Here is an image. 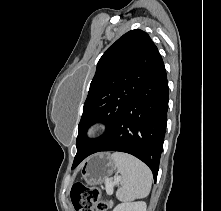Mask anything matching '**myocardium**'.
Returning a JSON list of instances; mask_svg holds the SVG:
<instances>
[{
    "label": "myocardium",
    "instance_id": "f54148a6",
    "mask_svg": "<svg viewBox=\"0 0 221 211\" xmlns=\"http://www.w3.org/2000/svg\"><path fill=\"white\" fill-rule=\"evenodd\" d=\"M100 126L98 123L90 125L86 130V137L91 139L98 135Z\"/></svg>",
    "mask_w": 221,
    "mask_h": 211
}]
</instances>
